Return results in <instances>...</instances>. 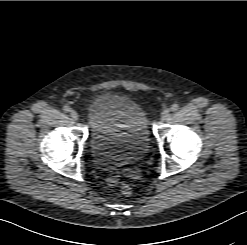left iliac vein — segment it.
<instances>
[{"instance_id":"4c4485c4","label":"left iliac vein","mask_w":247,"mask_h":245,"mask_svg":"<svg viewBox=\"0 0 247 245\" xmlns=\"http://www.w3.org/2000/svg\"><path fill=\"white\" fill-rule=\"evenodd\" d=\"M170 110L169 109H164L161 113V120H166L167 117L169 116Z\"/></svg>"}]
</instances>
